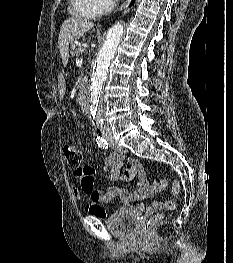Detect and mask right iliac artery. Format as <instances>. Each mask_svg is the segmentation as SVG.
<instances>
[{
	"instance_id": "1",
	"label": "right iliac artery",
	"mask_w": 233,
	"mask_h": 263,
	"mask_svg": "<svg viewBox=\"0 0 233 263\" xmlns=\"http://www.w3.org/2000/svg\"><path fill=\"white\" fill-rule=\"evenodd\" d=\"M96 142H97L98 146L103 148V149H107L109 147L108 142L101 136H97Z\"/></svg>"
}]
</instances>
